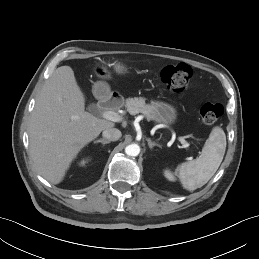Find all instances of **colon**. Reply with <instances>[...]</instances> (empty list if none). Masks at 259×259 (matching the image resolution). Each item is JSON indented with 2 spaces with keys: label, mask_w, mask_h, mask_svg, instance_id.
<instances>
[{
  "label": "colon",
  "mask_w": 259,
  "mask_h": 259,
  "mask_svg": "<svg viewBox=\"0 0 259 259\" xmlns=\"http://www.w3.org/2000/svg\"><path fill=\"white\" fill-rule=\"evenodd\" d=\"M162 83L172 92L184 91L192 78V69L185 64L166 66L162 69ZM202 122L211 126L214 125L223 114V107L215 102H203L199 108Z\"/></svg>",
  "instance_id": "5ec220e1"
}]
</instances>
